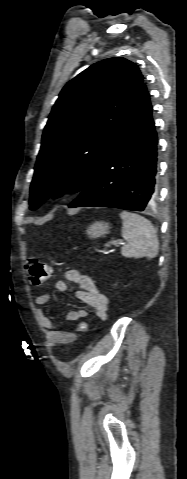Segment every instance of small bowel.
<instances>
[{"mask_svg":"<svg viewBox=\"0 0 187 479\" xmlns=\"http://www.w3.org/2000/svg\"><path fill=\"white\" fill-rule=\"evenodd\" d=\"M65 279L77 286L75 297L80 302L92 307L100 320H106L109 306L108 298L95 286L91 278L76 269H69L65 272ZM55 290L61 293L66 292L68 290L66 281H56ZM50 301L51 295L48 293H43L36 297V303L40 306L46 305ZM87 315L88 313L85 309H76L67 314V320L76 322L86 318ZM37 317L41 325L47 330L48 336L52 341L61 342L66 337V332L59 331L43 310H37Z\"/></svg>","mask_w":187,"mask_h":479,"instance_id":"c3829d8e","label":"small bowel"}]
</instances>
